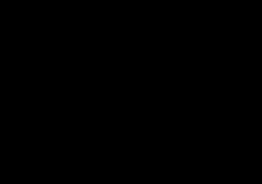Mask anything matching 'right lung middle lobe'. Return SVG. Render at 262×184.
Returning <instances> with one entry per match:
<instances>
[{
    "instance_id": "right-lung-middle-lobe-1",
    "label": "right lung middle lobe",
    "mask_w": 262,
    "mask_h": 184,
    "mask_svg": "<svg viewBox=\"0 0 262 184\" xmlns=\"http://www.w3.org/2000/svg\"><path fill=\"white\" fill-rule=\"evenodd\" d=\"M99 37L87 32H75L63 38L59 44L57 62L54 66V75L57 79H67L65 84H62V91L75 92V81L78 78V47L81 43H89L93 45ZM86 88L92 92V86Z\"/></svg>"
}]
</instances>
